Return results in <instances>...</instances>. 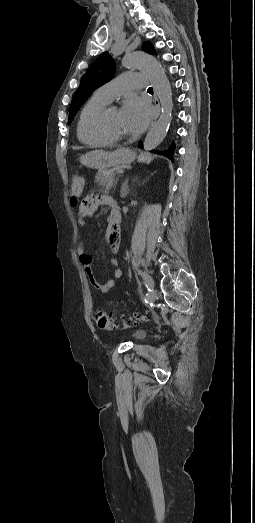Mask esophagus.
Wrapping results in <instances>:
<instances>
[{
    "label": "esophagus",
    "instance_id": "esophagus-1",
    "mask_svg": "<svg viewBox=\"0 0 255 523\" xmlns=\"http://www.w3.org/2000/svg\"><path fill=\"white\" fill-rule=\"evenodd\" d=\"M154 104H155V107H156V111H155V114H154L151 126L154 125V123L156 122L158 116L160 115V111H161L159 100H158V98H157V96L155 94H154Z\"/></svg>",
    "mask_w": 255,
    "mask_h": 523
}]
</instances>
